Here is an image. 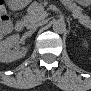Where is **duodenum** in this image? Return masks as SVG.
Masks as SVG:
<instances>
[{
    "label": "duodenum",
    "mask_w": 91,
    "mask_h": 91,
    "mask_svg": "<svg viewBox=\"0 0 91 91\" xmlns=\"http://www.w3.org/2000/svg\"><path fill=\"white\" fill-rule=\"evenodd\" d=\"M24 26H25L24 20L19 19L15 22L14 28H15L16 31L20 32L24 29Z\"/></svg>",
    "instance_id": "410a0bca"
}]
</instances>
